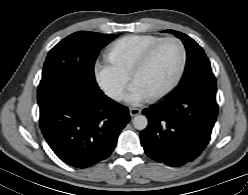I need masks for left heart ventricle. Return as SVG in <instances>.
Here are the masks:
<instances>
[{"label": "left heart ventricle", "mask_w": 248, "mask_h": 195, "mask_svg": "<svg viewBox=\"0 0 248 195\" xmlns=\"http://www.w3.org/2000/svg\"><path fill=\"white\" fill-rule=\"evenodd\" d=\"M181 47L176 42L168 43L154 64L143 73L137 85L148 94L165 88L175 77L181 62Z\"/></svg>", "instance_id": "1"}]
</instances>
